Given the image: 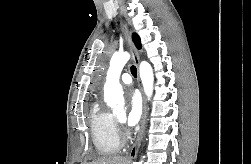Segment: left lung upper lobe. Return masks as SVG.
Returning <instances> with one entry per match:
<instances>
[{
    "label": "left lung upper lobe",
    "mask_w": 251,
    "mask_h": 164,
    "mask_svg": "<svg viewBox=\"0 0 251 164\" xmlns=\"http://www.w3.org/2000/svg\"><path fill=\"white\" fill-rule=\"evenodd\" d=\"M133 41H134L136 47L138 49H140L141 48V43H140V38L138 37V35L133 34Z\"/></svg>",
    "instance_id": "1"
}]
</instances>
